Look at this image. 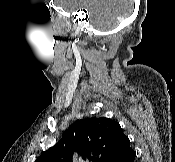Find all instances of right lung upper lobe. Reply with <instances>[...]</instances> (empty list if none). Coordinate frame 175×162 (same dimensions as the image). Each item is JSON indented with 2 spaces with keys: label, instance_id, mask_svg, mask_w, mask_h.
<instances>
[{
  "label": "right lung upper lobe",
  "instance_id": "1",
  "mask_svg": "<svg viewBox=\"0 0 175 162\" xmlns=\"http://www.w3.org/2000/svg\"><path fill=\"white\" fill-rule=\"evenodd\" d=\"M129 147L130 141L118 122L91 117L73 123L35 162H72L76 151L89 162H112Z\"/></svg>",
  "mask_w": 175,
  "mask_h": 162
}]
</instances>
